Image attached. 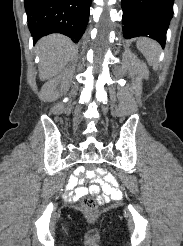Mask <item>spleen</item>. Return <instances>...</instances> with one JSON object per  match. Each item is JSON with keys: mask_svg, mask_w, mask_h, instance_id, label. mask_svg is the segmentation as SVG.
<instances>
[{"mask_svg": "<svg viewBox=\"0 0 183 246\" xmlns=\"http://www.w3.org/2000/svg\"><path fill=\"white\" fill-rule=\"evenodd\" d=\"M137 47L145 55L147 61L153 66L154 69L158 68L159 55L161 52L160 45L151 39L142 38L137 42Z\"/></svg>", "mask_w": 183, "mask_h": 246, "instance_id": "spleen-1", "label": "spleen"}]
</instances>
